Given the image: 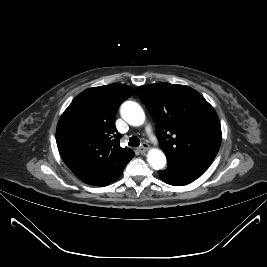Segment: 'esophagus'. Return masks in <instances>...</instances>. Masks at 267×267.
<instances>
[{"label":"esophagus","instance_id":"obj_1","mask_svg":"<svg viewBox=\"0 0 267 267\" xmlns=\"http://www.w3.org/2000/svg\"><path fill=\"white\" fill-rule=\"evenodd\" d=\"M148 144L147 143H143L142 146L138 149L140 153H145L146 150L148 149Z\"/></svg>","mask_w":267,"mask_h":267}]
</instances>
